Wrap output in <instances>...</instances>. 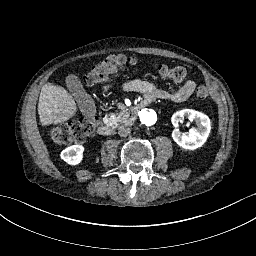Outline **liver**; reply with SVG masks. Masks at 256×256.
I'll return each instance as SVG.
<instances>
[{
  "label": "liver",
  "mask_w": 256,
  "mask_h": 256,
  "mask_svg": "<svg viewBox=\"0 0 256 256\" xmlns=\"http://www.w3.org/2000/svg\"><path fill=\"white\" fill-rule=\"evenodd\" d=\"M76 110L74 99L63 87L51 83L42 86L38 114L43 126L67 121L75 115Z\"/></svg>",
  "instance_id": "1"
}]
</instances>
